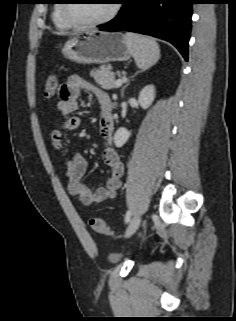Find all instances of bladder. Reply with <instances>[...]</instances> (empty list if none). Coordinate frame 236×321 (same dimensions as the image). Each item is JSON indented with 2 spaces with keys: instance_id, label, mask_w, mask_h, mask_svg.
Here are the masks:
<instances>
[{
  "instance_id": "obj_1",
  "label": "bladder",
  "mask_w": 236,
  "mask_h": 321,
  "mask_svg": "<svg viewBox=\"0 0 236 321\" xmlns=\"http://www.w3.org/2000/svg\"><path fill=\"white\" fill-rule=\"evenodd\" d=\"M110 257L113 259V260H118L120 258V255L119 254H111Z\"/></svg>"
}]
</instances>
